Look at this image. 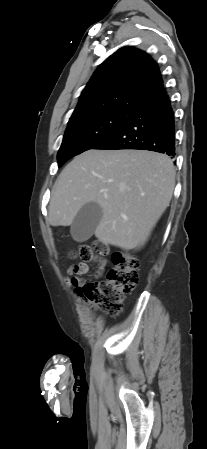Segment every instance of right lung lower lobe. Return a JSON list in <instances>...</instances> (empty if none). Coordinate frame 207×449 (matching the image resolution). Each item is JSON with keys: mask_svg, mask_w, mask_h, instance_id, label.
I'll use <instances>...</instances> for the list:
<instances>
[{"mask_svg": "<svg viewBox=\"0 0 207 449\" xmlns=\"http://www.w3.org/2000/svg\"><path fill=\"white\" fill-rule=\"evenodd\" d=\"M175 117L168 94L134 111L127 122L92 149H140L175 156Z\"/></svg>", "mask_w": 207, "mask_h": 449, "instance_id": "right-lung-lower-lobe-1", "label": "right lung lower lobe"}]
</instances>
